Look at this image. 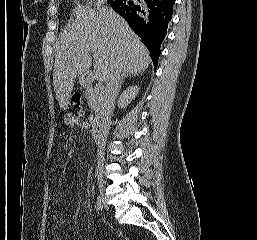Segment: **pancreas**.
<instances>
[{
    "instance_id": "1",
    "label": "pancreas",
    "mask_w": 257,
    "mask_h": 240,
    "mask_svg": "<svg viewBox=\"0 0 257 240\" xmlns=\"http://www.w3.org/2000/svg\"><path fill=\"white\" fill-rule=\"evenodd\" d=\"M84 96L88 101V105L92 108L100 109L102 106V94L98 90L96 91L91 86H86Z\"/></svg>"
}]
</instances>
